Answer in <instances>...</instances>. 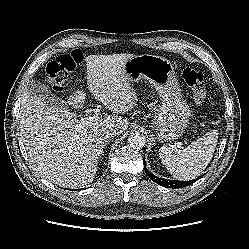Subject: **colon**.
Masks as SVG:
<instances>
[{"label": "colon", "instance_id": "1", "mask_svg": "<svg viewBox=\"0 0 249 249\" xmlns=\"http://www.w3.org/2000/svg\"><path fill=\"white\" fill-rule=\"evenodd\" d=\"M83 60L80 50H73L57 56L47 66L48 81L53 90L61 92L70 73ZM181 75L187 86L193 93V98L197 104H203L207 99V86L204 74L191 67L183 66Z\"/></svg>", "mask_w": 249, "mask_h": 249}]
</instances>
